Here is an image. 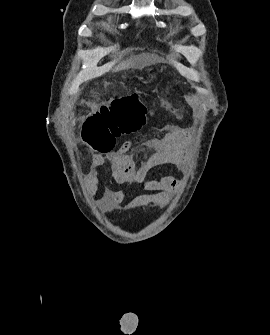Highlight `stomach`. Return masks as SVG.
<instances>
[{
  "mask_svg": "<svg viewBox=\"0 0 270 335\" xmlns=\"http://www.w3.org/2000/svg\"><path fill=\"white\" fill-rule=\"evenodd\" d=\"M155 74H149V82H153Z\"/></svg>",
  "mask_w": 270,
  "mask_h": 335,
  "instance_id": "stomach-1",
  "label": "stomach"
}]
</instances>
